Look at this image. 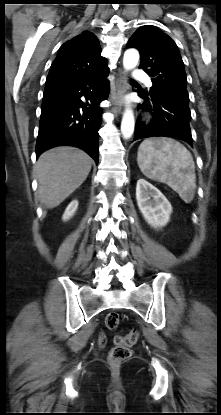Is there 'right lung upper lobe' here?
Wrapping results in <instances>:
<instances>
[{
	"mask_svg": "<svg viewBox=\"0 0 221 415\" xmlns=\"http://www.w3.org/2000/svg\"><path fill=\"white\" fill-rule=\"evenodd\" d=\"M108 70L98 38L83 32L65 42L51 65L46 84L95 76Z\"/></svg>",
	"mask_w": 221,
	"mask_h": 415,
	"instance_id": "obj_1",
	"label": "right lung upper lobe"
}]
</instances>
